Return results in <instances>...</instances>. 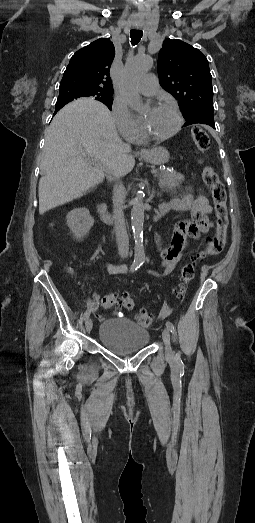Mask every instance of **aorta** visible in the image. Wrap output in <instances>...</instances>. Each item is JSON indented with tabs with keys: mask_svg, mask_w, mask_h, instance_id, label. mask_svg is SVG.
<instances>
[{
	"mask_svg": "<svg viewBox=\"0 0 255 523\" xmlns=\"http://www.w3.org/2000/svg\"><path fill=\"white\" fill-rule=\"evenodd\" d=\"M153 59L150 56H136L129 60L125 66L122 78V91L128 104L139 110L141 108V99L137 92L136 86L139 80L151 69ZM143 223H144V204L141 195L137 194L133 201L131 211V224L133 238L135 242L134 259L143 261L145 252L143 247Z\"/></svg>",
	"mask_w": 255,
	"mask_h": 523,
	"instance_id": "1",
	"label": "aorta"
}]
</instances>
